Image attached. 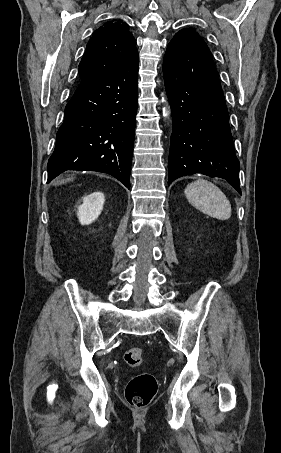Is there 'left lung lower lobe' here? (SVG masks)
Segmentation results:
<instances>
[{
    "instance_id": "0a47b994",
    "label": "left lung lower lobe",
    "mask_w": 281,
    "mask_h": 453,
    "mask_svg": "<svg viewBox=\"0 0 281 453\" xmlns=\"http://www.w3.org/2000/svg\"><path fill=\"white\" fill-rule=\"evenodd\" d=\"M173 132L168 185L201 173L226 179L240 194L239 161L229 116L212 54L199 37H174L163 63Z\"/></svg>"
}]
</instances>
